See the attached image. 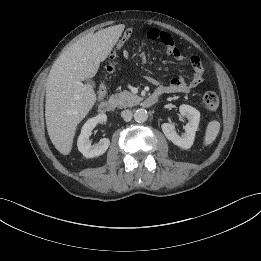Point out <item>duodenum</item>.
<instances>
[{
  "label": "duodenum",
  "mask_w": 261,
  "mask_h": 261,
  "mask_svg": "<svg viewBox=\"0 0 261 261\" xmlns=\"http://www.w3.org/2000/svg\"><path fill=\"white\" fill-rule=\"evenodd\" d=\"M160 93L159 92H154L152 94H150L149 96H147L144 101H143V106L144 107H151L153 105H155L160 97ZM115 109V105L111 100H103L100 104H99V111L101 113H109L112 112Z\"/></svg>",
  "instance_id": "duodenum-1"
}]
</instances>
